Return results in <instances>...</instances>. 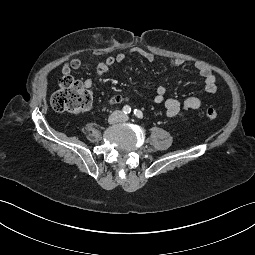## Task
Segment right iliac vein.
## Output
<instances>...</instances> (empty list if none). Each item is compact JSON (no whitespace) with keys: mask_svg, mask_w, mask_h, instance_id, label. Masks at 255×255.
<instances>
[{"mask_svg":"<svg viewBox=\"0 0 255 255\" xmlns=\"http://www.w3.org/2000/svg\"><path fill=\"white\" fill-rule=\"evenodd\" d=\"M119 118H120L119 115H117V114H112V115L109 117L108 122H109V124H114V123H116V122L118 121Z\"/></svg>","mask_w":255,"mask_h":255,"instance_id":"right-iliac-vein-1","label":"right iliac vein"}]
</instances>
